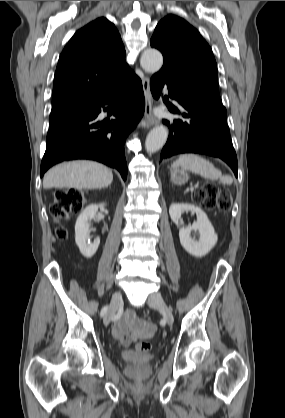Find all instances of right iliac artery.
<instances>
[{
	"label": "right iliac artery",
	"instance_id": "right-iliac-artery-1",
	"mask_svg": "<svg viewBox=\"0 0 285 418\" xmlns=\"http://www.w3.org/2000/svg\"><path fill=\"white\" fill-rule=\"evenodd\" d=\"M107 309H108V307H107V306H105V307L101 310V316H103V315L106 313ZM117 316H119V314H117Z\"/></svg>",
	"mask_w": 285,
	"mask_h": 418
}]
</instances>
